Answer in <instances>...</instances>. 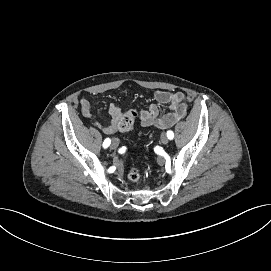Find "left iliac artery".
<instances>
[{"mask_svg":"<svg viewBox=\"0 0 271 271\" xmlns=\"http://www.w3.org/2000/svg\"><path fill=\"white\" fill-rule=\"evenodd\" d=\"M167 137H168V139L172 140L173 137H174V133L172 131H170V130L167 131Z\"/></svg>","mask_w":271,"mask_h":271,"instance_id":"44dca946","label":"left iliac artery"}]
</instances>
